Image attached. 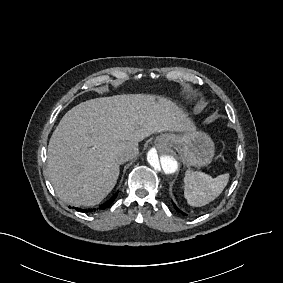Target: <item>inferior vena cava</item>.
<instances>
[{
	"instance_id": "1",
	"label": "inferior vena cava",
	"mask_w": 283,
	"mask_h": 283,
	"mask_svg": "<svg viewBox=\"0 0 283 283\" xmlns=\"http://www.w3.org/2000/svg\"><path fill=\"white\" fill-rule=\"evenodd\" d=\"M138 154V149L132 145L126 146L123 150L117 153L116 162L118 164H124L125 162L132 160Z\"/></svg>"
}]
</instances>
